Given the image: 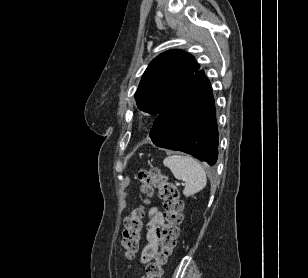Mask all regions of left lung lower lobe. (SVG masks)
Here are the masks:
<instances>
[{"label": "left lung lower lobe", "mask_w": 308, "mask_h": 278, "mask_svg": "<svg viewBox=\"0 0 308 278\" xmlns=\"http://www.w3.org/2000/svg\"><path fill=\"white\" fill-rule=\"evenodd\" d=\"M150 135L159 147L188 153L209 165L216 163L214 98L203 70L194 74L161 110Z\"/></svg>", "instance_id": "left-lung-lower-lobe-1"}]
</instances>
